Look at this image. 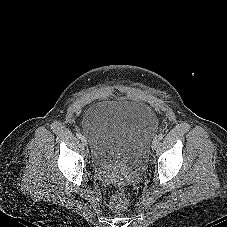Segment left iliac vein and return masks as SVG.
Wrapping results in <instances>:
<instances>
[{"label":"left iliac vein","mask_w":227,"mask_h":227,"mask_svg":"<svg viewBox=\"0 0 227 227\" xmlns=\"http://www.w3.org/2000/svg\"><path fill=\"white\" fill-rule=\"evenodd\" d=\"M159 146V138H154L153 142H152V149H156Z\"/></svg>","instance_id":"1"}]
</instances>
